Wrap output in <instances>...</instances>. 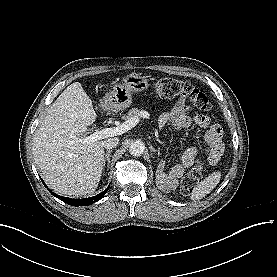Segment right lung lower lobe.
<instances>
[{
  "label": "right lung lower lobe",
  "instance_id": "right-lung-lower-lobe-1",
  "mask_svg": "<svg viewBox=\"0 0 277 277\" xmlns=\"http://www.w3.org/2000/svg\"><path fill=\"white\" fill-rule=\"evenodd\" d=\"M42 182H43V180H42ZM43 184L46 188H48L44 182H43ZM108 189H109V187L107 189H105L103 192L97 194L96 196L89 197V198H84V199H70V198H67V197L59 196V195L55 194L54 192H52L50 189H48V191L52 195H54L58 199L62 200L63 202H66L69 205H72V206H86V205L95 203L96 201H99L107 193Z\"/></svg>",
  "mask_w": 277,
  "mask_h": 277
}]
</instances>
